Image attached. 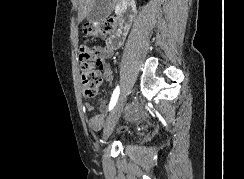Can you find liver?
Masks as SVG:
<instances>
[{"label": "liver", "mask_w": 244, "mask_h": 179, "mask_svg": "<svg viewBox=\"0 0 244 179\" xmlns=\"http://www.w3.org/2000/svg\"><path fill=\"white\" fill-rule=\"evenodd\" d=\"M95 0H79V8H78V22H83L84 18L88 16L92 6H94ZM114 4L116 2H121V0H113Z\"/></svg>", "instance_id": "1"}]
</instances>
